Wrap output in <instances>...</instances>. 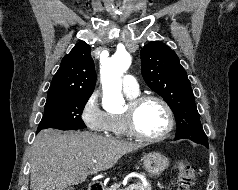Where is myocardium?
Returning a JSON list of instances; mask_svg holds the SVG:
<instances>
[{"mask_svg": "<svg viewBox=\"0 0 238 190\" xmlns=\"http://www.w3.org/2000/svg\"><path fill=\"white\" fill-rule=\"evenodd\" d=\"M147 101H156L158 102L165 110L168 117V126L166 130L157 136H149L142 133L137 127L136 123V114L140 106ZM123 118L129 135L134 138L145 141V142H159L166 139L174 129L175 118L174 113L170 105L160 96L154 94H143L137 95L131 98L128 102V105L123 112Z\"/></svg>", "mask_w": 238, "mask_h": 190, "instance_id": "obj_1", "label": "myocardium"}]
</instances>
